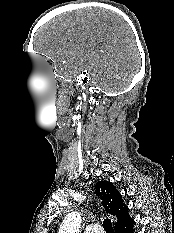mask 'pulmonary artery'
<instances>
[{
	"instance_id": "pulmonary-artery-1",
	"label": "pulmonary artery",
	"mask_w": 174,
	"mask_h": 233,
	"mask_svg": "<svg viewBox=\"0 0 174 233\" xmlns=\"http://www.w3.org/2000/svg\"><path fill=\"white\" fill-rule=\"evenodd\" d=\"M84 233H104V231L98 224H89L86 226Z\"/></svg>"
}]
</instances>
